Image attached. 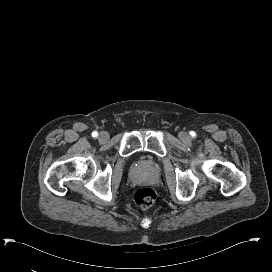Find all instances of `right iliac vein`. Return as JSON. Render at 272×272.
<instances>
[{
	"mask_svg": "<svg viewBox=\"0 0 272 272\" xmlns=\"http://www.w3.org/2000/svg\"><path fill=\"white\" fill-rule=\"evenodd\" d=\"M108 138H109V135H108V133L107 132H101L100 134H99V139H100V141H107L108 140Z\"/></svg>",
	"mask_w": 272,
	"mask_h": 272,
	"instance_id": "right-iliac-vein-1",
	"label": "right iliac vein"
}]
</instances>
